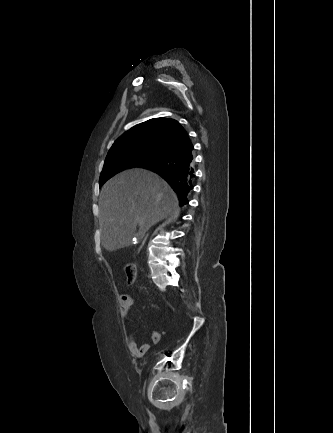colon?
Returning <instances> with one entry per match:
<instances>
[{
    "label": "colon",
    "mask_w": 333,
    "mask_h": 433,
    "mask_svg": "<svg viewBox=\"0 0 333 433\" xmlns=\"http://www.w3.org/2000/svg\"><path fill=\"white\" fill-rule=\"evenodd\" d=\"M126 278L128 283L135 282L137 278V267L133 263H128L125 266Z\"/></svg>",
    "instance_id": "1"
}]
</instances>
